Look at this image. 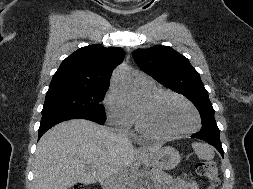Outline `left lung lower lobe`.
<instances>
[{
	"mask_svg": "<svg viewBox=\"0 0 253 189\" xmlns=\"http://www.w3.org/2000/svg\"><path fill=\"white\" fill-rule=\"evenodd\" d=\"M191 137L210 143L219 151L222 157L224 156V151L220 142L219 131H199L193 134Z\"/></svg>",
	"mask_w": 253,
	"mask_h": 189,
	"instance_id": "obj_1",
	"label": "left lung lower lobe"
}]
</instances>
